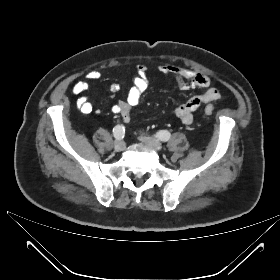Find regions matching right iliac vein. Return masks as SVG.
I'll use <instances>...</instances> for the list:
<instances>
[{
	"label": "right iliac vein",
	"mask_w": 280,
	"mask_h": 280,
	"mask_svg": "<svg viewBox=\"0 0 280 280\" xmlns=\"http://www.w3.org/2000/svg\"><path fill=\"white\" fill-rule=\"evenodd\" d=\"M125 147H126V144H125L124 141L119 140V141L115 142L114 149L116 151L121 152V151H123L125 149Z\"/></svg>",
	"instance_id": "63e3f726"
}]
</instances>
